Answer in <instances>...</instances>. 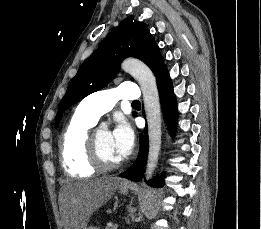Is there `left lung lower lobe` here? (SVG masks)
<instances>
[{
	"label": "left lung lower lobe",
	"mask_w": 261,
	"mask_h": 229,
	"mask_svg": "<svg viewBox=\"0 0 261 229\" xmlns=\"http://www.w3.org/2000/svg\"><path fill=\"white\" fill-rule=\"evenodd\" d=\"M157 86L160 93V99L162 104V111L164 118L167 121L169 132L172 136L175 135L177 125V105L176 98L173 92L172 82L168 74V70L165 69L156 76ZM140 150L138 157L134 164L125 172L119 175L131 181H140L144 176L145 157L148 151V137L146 130L144 136L140 135ZM149 185L154 187H161L164 185L162 177L155 178L148 182Z\"/></svg>",
	"instance_id": "0a47b994"
}]
</instances>
